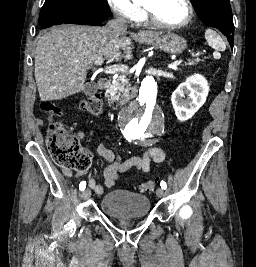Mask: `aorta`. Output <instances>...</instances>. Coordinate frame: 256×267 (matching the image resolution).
I'll return each mask as SVG.
<instances>
[{"label": "aorta", "instance_id": "1", "mask_svg": "<svg viewBox=\"0 0 256 267\" xmlns=\"http://www.w3.org/2000/svg\"><path fill=\"white\" fill-rule=\"evenodd\" d=\"M152 80L153 75H146L140 98L125 108L124 117H119L120 127H160V122H165V117H161L162 108L153 104L158 94ZM123 133H131V138H143V143H160V138H156L158 128H123Z\"/></svg>", "mask_w": 256, "mask_h": 267}]
</instances>
